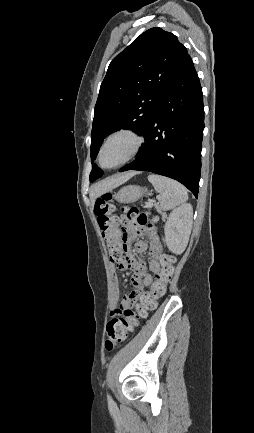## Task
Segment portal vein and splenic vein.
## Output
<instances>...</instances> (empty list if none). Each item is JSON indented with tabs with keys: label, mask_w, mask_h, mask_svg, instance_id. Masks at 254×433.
Wrapping results in <instances>:
<instances>
[{
	"label": "portal vein and splenic vein",
	"mask_w": 254,
	"mask_h": 433,
	"mask_svg": "<svg viewBox=\"0 0 254 433\" xmlns=\"http://www.w3.org/2000/svg\"><path fill=\"white\" fill-rule=\"evenodd\" d=\"M158 199H160V198H158ZM147 206L152 207V206H153V203H152V202H149V203L147 204Z\"/></svg>",
	"instance_id": "18ae733b"
}]
</instances>
